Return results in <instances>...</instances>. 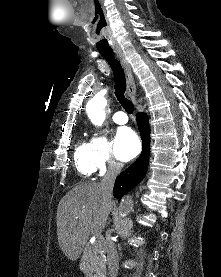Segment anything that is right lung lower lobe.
I'll use <instances>...</instances> for the list:
<instances>
[{
  "label": "right lung lower lobe",
  "mask_w": 221,
  "mask_h": 277,
  "mask_svg": "<svg viewBox=\"0 0 221 277\" xmlns=\"http://www.w3.org/2000/svg\"><path fill=\"white\" fill-rule=\"evenodd\" d=\"M137 125L142 138V152L139 158L116 179L113 195L121 197L143 180L146 175L150 155V127L145 113H137Z\"/></svg>",
  "instance_id": "1"
}]
</instances>
